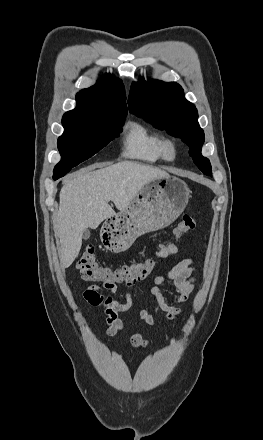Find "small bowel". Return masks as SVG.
I'll return each instance as SVG.
<instances>
[{"label":"small bowel","instance_id":"small-bowel-1","mask_svg":"<svg viewBox=\"0 0 263 440\" xmlns=\"http://www.w3.org/2000/svg\"><path fill=\"white\" fill-rule=\"evenodd\" d=\"M178 248L175 244H168L156 252L158 259H165L176 254ZM172 284V296L168 299L165 295L164 287ZM195 288L194 269L192 259L187 258L176 263L167 275H157L153 280L150 293L155 301L156 311L161 313L168 320H176L182 314V309L174 304L186 302ZM102 290L110 293L116 291L115 287L106 285H88L82 291L83 300L93 307L103 306L106 317V333L108 336H115L123 328V322L119 315L129 311L133 305L132 295L128 292L124 294V301H118L112 296H104ZM139 317L149 325H156L155 318L146 310L138 311ZM131 346L135 349L145 348L148 345L142 334L135 333L130 337Z\"/></svg>","mask_w":263,"mask_h":440}]
</instances>
